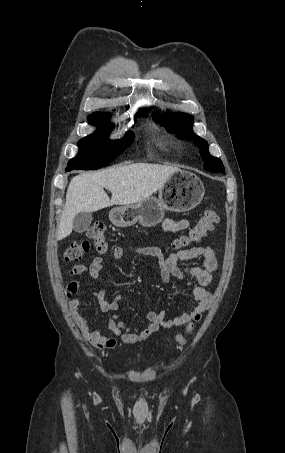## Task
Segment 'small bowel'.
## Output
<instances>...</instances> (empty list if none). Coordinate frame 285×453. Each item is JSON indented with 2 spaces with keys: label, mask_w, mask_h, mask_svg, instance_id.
<instances>
[{
  "label": "small bowel",
  "mask_w": 285,
  "mask_h": 453,
  "mask_svg": "<svg viewBox=\"0 0 285 453\" xmlns=\"http://www.w3.org/2000/svg\"><path fill=\"white\" fill-rule=\"evenodd\" d=\"M163 229L167 232L184 234L190 226L188 219L174 220L166 218L163 221ZM142 256H154L157 258L159 273L163 282H169L172 278L185 279L190 277L187 282L189 292L194 300L190 308L174 318L168 319L164 310L151 311L147 313V324L143 328H136L126 325L118 319L116 311L122 299L120 294L113 300L106 298L104 290L93 293L99 308L106 314V328L118 338L121 343L132 345L146 340L160 329H172L189 324L192 321H199L203 312L209 309L212 302V294L208 287L212 282V275L218 270V261L212 248L193 247L189 250H181L165 257L158 249L151 247H129L119 248L114 254V260H120L125 252ZM202 257L203 265L180 266V261H188ZM104 262L102 257H95L90 266L76 265L70 270V275L88 276L92 280L98 279L103 270ZM80 289L78 281L69 282L65 287V296L68 301L69 311L80 329L84 339L97 349H114L118 340L115 337L104 334L99 329L91 328L90 321L81 314V299L74 297Z\"/></svg>",
  "instance_id": "1"
}]
</instances>
